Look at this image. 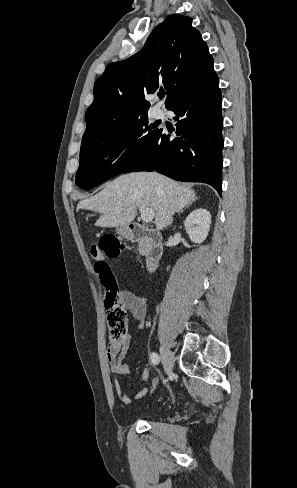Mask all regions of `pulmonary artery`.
I'll use <instances>...</instances> for the list:
<instances>
[{"label": "pulmonary artery", "mask_w": 297, "mask_h": 488, "mask_svg": "<svg viewBox=\"0 0 297 488\" xmlns=\"http://www.w3.org/2000/svg\"><path fill=\"white\" fill-rule=\"evenodd\" d=\"M155 115L156 116H159L160 115V111L159 110H156Z\"/></svg>", "instance_id": "pulmonary-artery-1"}]
</instances>
